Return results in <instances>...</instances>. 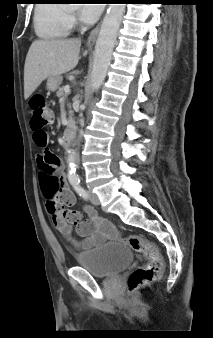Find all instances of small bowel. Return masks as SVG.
I'll return each mask as SVG.
<instances>
[{"mask_svg":"<svg viewBox=\"0 0 213 338\" xmlns=\"http://www.w3.org/2000/svg\"><path fill=\"white\" fill-rule=\"evenodd\" d=\"M50 159V165L56 168L55 174L59 176L60 188L62 191V202L66 207L75 205L76 196L68 190L66 176L62 168H60V160L57 156L46 153ZM42 187L46 188V179L40 174ZM78 217L76 232L83 242L71 235V224L67 220L64 213L57 212L54 216V224L58 231L63 235L67 242L78 252L89 249L92 245L102 243L106 240L115 239V230L110 221L97 216L94 209L89 206L84 207V212L88 215V219L82 220L79 211H73Z\"/></svg>","mask_w":213,"mask_h":338,"instance_id":"c3829d8e","label":"small bowel"}]
</instances>
